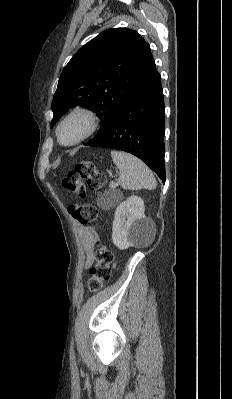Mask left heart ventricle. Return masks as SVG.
<instances>
[{
  "label": "left heart ventricle",
  "mask_w": 232,
  "mask_h": 399,
  "mask_svg": "<svg viewBox=\"0 0 232 399\" xmlns=\"http://www.w3.org/2000/svg\"><path fill=\"white\" fill-rule=\"evenodd\" d=\"M88 128V121L83 115H75L67 120L61 128V139L71 143L80 138Z\"/></svg>",
  "instance_id": "obj_1"
}]
</instances>
